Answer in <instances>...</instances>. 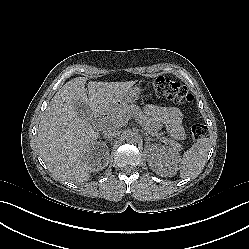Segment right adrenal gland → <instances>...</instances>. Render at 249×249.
I'll return each instance as SVG.
<instances>
[{
    "mask_svg": "<svg viewBox=\"0 0 249 249\" xmlns=\"http://www.w3.org/2000/svg\"><path fill=\"white\" fill-rule=\"evenodd\" d=\"M104 137H105V136H104ZM108 140H110V139H108ZM101 145L105 146V145H106V143H105V142H103V143H101Z\"/></svg>",
    "mask_w": 249,
    "mask_h": 249,
    "instance_id": "right-adrenal-gland-1",
    "label": "right adrenal gland"
}]
</instances>
